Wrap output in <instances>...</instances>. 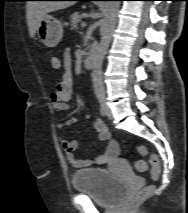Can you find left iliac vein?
Here are the masks:
<instances>
[{"instance_id": "4c4485c4", "label": "left iliac vein", "mask_w": 188, "mask_h": 213, "mask_svg": "<svg viewBox=\"0 0 188 213\" xmlns=\"http://www.w3.org/2000/svg\"><path fill=\"white\" fill-rule=\"evenodd\" d=\"M107 117H108V119H112V117H113L112 112L108 106H107Z\"/></svg>"}]
</instances>
